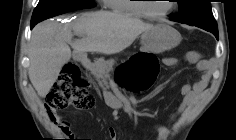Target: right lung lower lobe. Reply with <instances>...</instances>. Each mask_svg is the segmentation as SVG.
Returning <instances> with one entry per match:
<instances>
[{
    "label": "right lung lower lobe",
    "instance_id": "right-lung-lower-lobe-1",
    "mask_svg": "<svg viewBox=\"0 0 236 140\" xmlns=\"http://www.w3.org/2000/svg\"><path fill=\"white\" fill-rule=\"evenodd\" d=\"M34 25H35V24H31V28H33V27H34Z\"/></svg>",
    "mask_w": 236,
    "mask_h": 140
}]
</instances>
